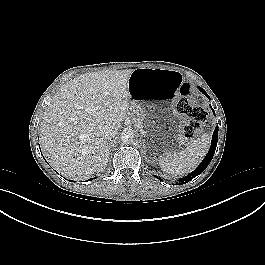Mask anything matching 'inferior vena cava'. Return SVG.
Instances as JSON below:
<instances>
[{"label":"inferior vena cava","mask_w":265,"mask_h":265,"mask_svg":"<svg viewBox=\"0 0 265 265\" xmlns=\"http://www.w3.org/2000/svg\"><path fill=\"white\" fill-rule=\"evenodd\" d=\"M118 129L113 126H104L101 130V135L105 139H111L116 136Z\"/></svg>","instance_id":"inferior-vena-cava-1"}]
</instances>
